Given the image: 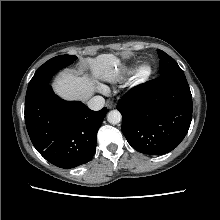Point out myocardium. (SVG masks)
Here are the masks:
<instances>
[{"mask_svg": "<svg viewBox=\"0 0 220 220\" xmlns=\"http://www.w3.org/2000/svg\"><path fill=\"white\" fill-rule=\"evenodd\" d=\"M152 71L153 68L149 63L142 62L141 64H139L131 79V86L133 88H137L146 83L149 80Z\"/></svg>", "mask_w": 220, "mask_h": 220, "instance_id": "obj_1", "label": "myocardium"}]
</instances>
